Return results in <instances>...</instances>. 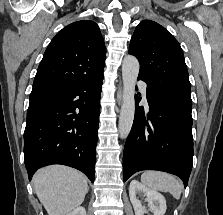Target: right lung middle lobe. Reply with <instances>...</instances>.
I'll use <instances>...</instances> for the list:
<instances>
[{
	"instance_id": "right-lung-middle-lobe-1",
	"label": "right lung middle lobe",
	"mask_w": 223,
	"mask_h": 215,
	"mask_svg": "<svg viewBox=\"0 0 223 215\" xmlns=\"http://www.w3.org/2000/svg\"><path fill=\"white\" fill-rule=\"evenodd\" d=\"M50 97H52V95H34V96H30V103L46 100Z\"/></svg>"
}]
</instances>
